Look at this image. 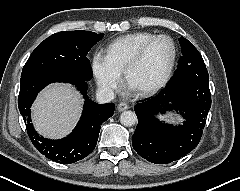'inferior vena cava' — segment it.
Segmentation results:
<instances>
[{"label":"inferior vena cava","mask_w":240,"mask_h":191,"mask_svg":"<svg viewBox=\"0 0 240 191\" xmlns=\"http://www.w3.org/2000/svg\"><path fill=\"white\" fill-rule=\"evenodd\" d=\"M114 99V92L110 88H98L96 92V100L98 103H108Z\"/></svg>","instance_id":"obj_1"}]
</instances>
